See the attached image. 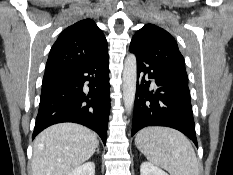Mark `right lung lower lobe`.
<instances>
[{
    "mask_svg": "<svg viewBox=\"0 0 233 175\" xmlns=\"http://www.w3.org/2000/svg\"><path fill=\"white\" fill-rule=\"evenodd\" d=\"M108 53L45 76L33 138L45 128L74 122L94 130L106 143L110 113Z\"/></svg>",
    "mask_w": 233,
    "mask_h": 175,
    "instance_id": "right-lung-lower-lobe-1",
    "label": "right lung lower lobe"
}]
</instances>
